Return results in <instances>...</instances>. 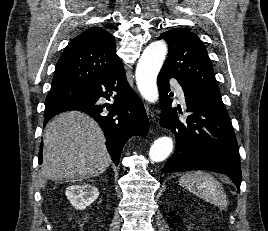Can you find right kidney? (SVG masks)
<instances>
[{"instance_id":"ca27d5eb","label":"right kidney","mask_w":268,"mask_h":231,"mask_svg":"<svg viewBox=\"0 0 268 231\" xmlns=\"http://www.w3.org/2000/svg\"><path fill=\"white\" fill-rule=\"evenodd\" d=\"M65 195L74 208L83 210L98 198L99 191L90 184L72 185L66 188Z\"/></svg>"}]
</instances>
